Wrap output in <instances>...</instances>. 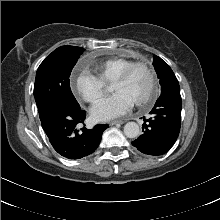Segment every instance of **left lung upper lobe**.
<instances>
[{
    "label": "left lung upper lobe",
    "mask_w": 220,
    "mask_h": 220,
    "mask_svg": "<svg viewBox=\"0 0 220 220\" xmlns=\"http://www.w3.org/2000/svg\"><path fill=\"white\" fill-rule=\"evenodd\" d=\"M153 65L161 85V94L180 91L178 80L165 61L160 57L155 56Z\"/></svg>",
    "instance_id": "obj_1"
}]
</instances>
